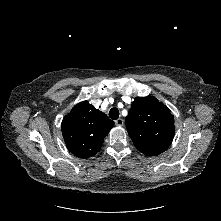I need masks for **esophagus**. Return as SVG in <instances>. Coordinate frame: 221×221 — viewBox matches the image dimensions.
I'll use <instances>...</instances> for the list:
<instances>
[{"mask_svg":"<svg viewBox=\"0 0 221 221\" xmlns=\"http://www.w3.org/2000/svg\"><path fill=\"white\" fill-rule=\"evenodd\" d=\"M115 124L117 126H123L124 125V120L122 118H119L115 121Z\"/></svg>","mask_w":221,"mask_h":221,"instance_id":"esophagus-1","label":"esophagus"}]
</instances>
